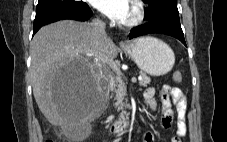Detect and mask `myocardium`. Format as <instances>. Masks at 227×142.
Instances as JSON below:
<instances>
[{
  "mask_svg": "<svg viewBox=\"0 0 227 142\" xmlns=\"http://www.w3.org/2000/svg\"><path fill=\"white\" fill-rule=\"evenodd\" d=\"M133 16L128 20L122 23V26L125 28H133L140 25L146 17V8L142 0H133Z\"/></svg>",
  "mask_w": 227,
  "mask_h": 142,
  "instance_id": "f54148a6",
  "label": "myocardium"
}]
</instances>
